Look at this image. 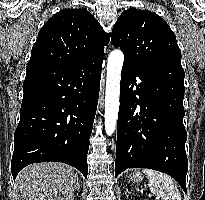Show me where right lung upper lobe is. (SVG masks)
Returning <instances> with one entry per match:
<instances>
[{
  "mask_svg": "<svg viewBox=\"0 0 205 200\" xmlns=\"http://www.w3.org/2000/svg\"><path fill=\"white\" fill-rule=\"evenodd\" d=\"M110 40L85 9H63L41 28L28 65H75L104 57Z\"/></svg>",
  "mask_w": 205,
  "mask_h": 200,
  "instance_id": "right-lung-upper-lobe-1",
  "label": "right lung upper lobe"
}]
</instances>
